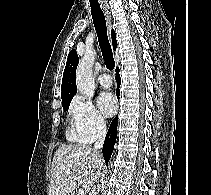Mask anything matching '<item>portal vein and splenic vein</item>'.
Wrapping results in <instances>:
<instances>
[{
    "mask_svg": "<svg viewBox=\"0 0 211 195\" xmlns=\"http://www.w3.org/2000/svg\"><path fill=\"white\" fill-rule=\"evenodd\" d=\"M77 180H78V182H80V178H77ZM84 189L83 188H81V189H79V191H78V195H84Z\"/></svg>",
    "mask_w": 211,
    "mask_h": 195,
    "instance_id": "18ae733b",
    "label": "portal vein and splenic vein"
}]
</instances>
